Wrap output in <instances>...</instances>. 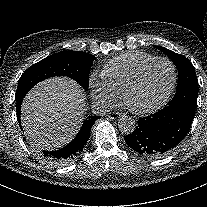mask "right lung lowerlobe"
<instances>
[{"label": "right lung lower lobe", "mask_w": 207, "mask_h": 207, "mask_svg": "<svg viewBox=\"0 0 207 207\" xmlns=\"http://www.w3.org/2000/svg\"><path fill=\"white\" fill-rule=\"evenodd\" d=\"M23 98L16 99V113H17L19 125L21 124L20 108ZM98 118H99L98 116H94L91 119L85 121L80 131L73 139V141L69 143L67 146H65L64 148L55 151L43 150L41 152H38L39 157H41L46 162L55 165L65 164L75 159L83 151L84 146L86 145L89 139L91 133V127L93 126V124Z\"/></svg>", "instance_id": "obj_1"}]
</instances>
